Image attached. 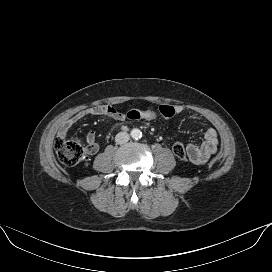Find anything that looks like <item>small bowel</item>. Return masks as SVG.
Returning a JSON list of instances; mask_svg holds the SVG:
<instances>
[{
    "label": "small bowel",
    "instance_id": "c3829d8e",
    "mask_svg": "<svg viewBox=\"0 0 272 272\" xmlns=\"http://www.w3.org/2000/svg\"><path fill=\"white\" fill-rule=\"evenodd\" d=\"M176 113L180 114L184 111V107L177 105L175 107ZM87 116H108L117 121H124L127 119L126 114L118 111L111 105H97L88 109L77 112L76 114L63 120L59 126L58 136L59 138H67L69 130L79 121L83 120ZM203 136L201 144H188L186 152L190 161L195 164L205 163L213 154L217 151L218 146V134L214 128H206L200 131ZM85 143L87 144V152L91 155L95 154L99 150V145L96 142L95 133L90 131L86 134Z\"/></svg>",
    "mask_w": 272,
    "mask_h": 272
}]
</instances>
